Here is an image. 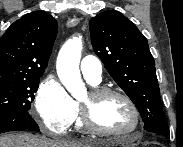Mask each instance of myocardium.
Instances as JSON below:
<instances>
[{"instance_id":"1","label":"myocardium","mask_w":183,"mask_h":147,"mask_svg":"<svg viewBox=\"0 0 183 147\" xmlns=\"http://www.w3.org/2000/svg\"><path fill=\"white\" fill-rule=\"evenodd\" d=\"M90 96V101L85 103L81 102L80 103V108H81V118L84 127L98 135H105V136H114V137H126V136H131L136 134L140 128H141V116L139 113V110L134 103V101L124 92L112 88H107V87H99V88H94L89 92ZM108 96H118L122 98L129 106L133 117H134V126L132 129L128 131H115V130H110L106 128H102L101 126L98 125V123L95 121L94 116H93V106L96 101L108 97Z\"/></svg>"}]
</instances>
